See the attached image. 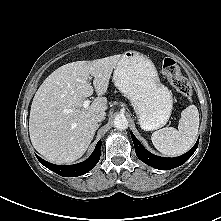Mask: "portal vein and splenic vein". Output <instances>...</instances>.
<instances>
[{"instance_id":"portal-vein-and-splenic-vein-1","label":"portal vein and splenic vein","mask_w":221,"mask_h":221,"mask_svg":"<svg viewBox=\"0 0 221 221\" xmlns=\"http://www.w3.org/2000/svg\"><path fill=\"white\" fill-rule=\"evenodd\" d=\"M90 103H91V101H90L89 99L85 100V101L83 102V107H84V108H88L89 105H90Z\"/></svg>"}]
</instances>
